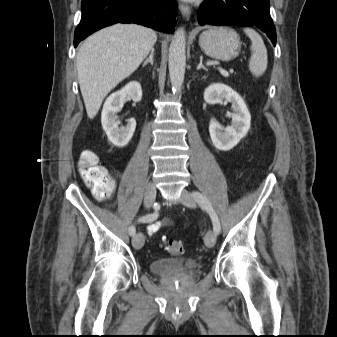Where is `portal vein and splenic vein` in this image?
I'll list each match as a JSON object with an SVG mask.
<instances>
[{
    "label": "portal vein and splenic vein",
    "mask_w": 337,
    "mask_h": 337,
    "mask_svg": "<svg viewBox=\"0 0 337 337\" xmlns=\"http://www.w3.org/2000/svg\"><path fill=\"white\" fill-rule=\"evenodd\" d=\"M219 71H220V73H221L223 76H226V77L229 76V73H228L226 70H224V69H222V68H219Z\"/></svg>",
    "instance_id": "1"
}]
</instances>
